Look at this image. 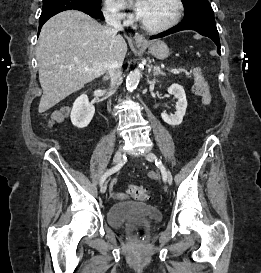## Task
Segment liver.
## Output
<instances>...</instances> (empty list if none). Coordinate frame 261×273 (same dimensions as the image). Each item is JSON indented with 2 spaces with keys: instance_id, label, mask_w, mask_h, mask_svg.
Returning <instances> with one entry per match:
<instances>
[{
  "instance_id": "liver-1",
  "label": "liver",
  "mask_w": 261,
  "mask_h": 273,
  "mask_svg": "<svg viewBox=\"0 0 261 273\" xmlns=\"http://www.w3.org/2000/svg\"><path fill=\"white\" fill-rule=\"evenodd\" d=\"M126 53L122 36L81 11L67 10L50 18L36 47L43 91L39 113L103 75L113 56L124 60Z\"/></svg>"
}]
</instances>
